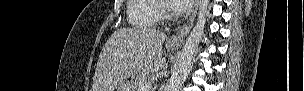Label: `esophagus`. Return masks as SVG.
I'll return each instance as SVG.
<instances>
[{
    "mask_svg": "<svg viewBox=\"0 0 304 91\" xmlns=\"http://www.w3.org/2000/svg\"><path fill=\"white\" fill-rule=\"evenodd\" d=\"M198 5H199V0H195L194 8H193V11H192L189 19L178 28V30L175 34H173L168 39V43L170 45L177 46V47L183 45L186 36L189 34V32L193 26V23H194V20L196 17V13H197V9H198Z\"/></svg>",
    "mask_w": 304,
    "mask_h": 91,
    "instance_id": "34e87169",
    "label": "esophagus"
}]
</instances>
